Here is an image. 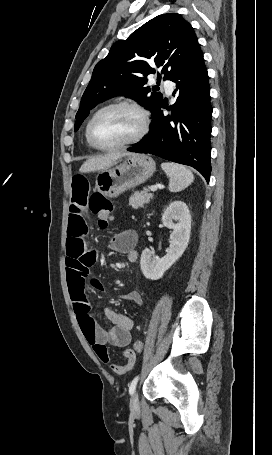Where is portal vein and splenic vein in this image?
<instances>
[{"label":"portal vein and splenic vein","instance_id":"1","mask_svg":"<svg viewBox=\"0 0 272 455\" xmlns=\"http://www.w3.org/2000/svg\"><path fill=\"white\" fill-rule=\"evenodd\" d=\"M157 188H158V187H157L156 185H152V186L150 187V190H151L152 192H155V191L157 190Z\"/></svg>","mask_w":272,"mask_h":455}]
</instances>
